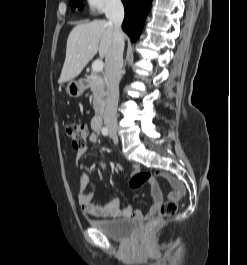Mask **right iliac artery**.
<instances>
[{"instance_id":"right-iliac-artery-1","label":"right iliac artery","mask_w":247,"mask_h":265,"mask_svg":"<svg viewBox=\"0 0 247 265\" xmlns=\"http://www.w3.org/2000/svg\"><path fill=\"white\" fill-rule=\"evenodd\" d=\"M101 131H102V134L105 136H107L109 134L108 128H106V127H103Z\"/></svg>"}]
</instances>
